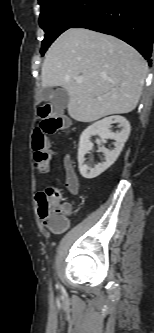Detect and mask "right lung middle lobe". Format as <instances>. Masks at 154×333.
I'll return each mask as SVG.
<instances>
[{"instance_id": "1", "label": "right lung middle lobe", "mask_w": 154, "mask_h": 333, "mask_svg": "<svg viewBox=\"0 0 154 333\" xmlns=\"http://www.w3.org/2000/svg\"><path fill=\"white\" fill-rule=\"evenodd\" d=\"M100 0H39L40 27L45 32L41 54L65 30L87 15Z\"/></svg>"}]
</instances>
